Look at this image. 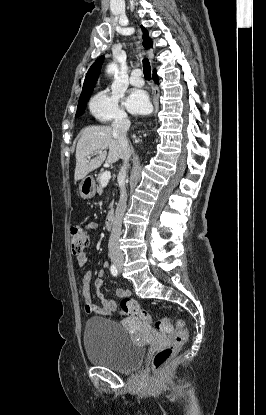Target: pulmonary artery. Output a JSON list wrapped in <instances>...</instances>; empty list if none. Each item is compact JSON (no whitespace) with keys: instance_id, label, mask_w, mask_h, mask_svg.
Listing matches in <instances>:
<instances>
[{"instance_id":"obj_1","label":"pulmonary artery","mask_w":266,"mask_h":415,"mask_svg":"<svg viewBox=\"0 0 266 415\" xmlns=\"http://www.w3.org/2000/svg\"><path fill=\"white\" fill-rule=\"evenodd\" d=\"M130 83L133 86H137V87L143 86L144 80L142 78V71L140 69H134L131 72Z\"/></svg>"}]
</instances>
